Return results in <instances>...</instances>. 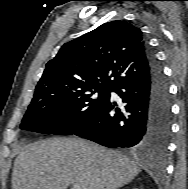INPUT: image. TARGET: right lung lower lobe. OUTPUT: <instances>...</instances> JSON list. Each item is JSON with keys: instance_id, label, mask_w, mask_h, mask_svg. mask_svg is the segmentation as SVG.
<instances>
[{"instance_id": "obj_1", "label": "right lung lower lobe", "mask_w": 188, "mask_h": 189, "mask_svg": "<svg viewBox=\"0 0 188 189\" xmlns=\"http://www.w3.org/2000/svg\"><path fill=\"white\" fill-rule=\"evenodd\" d=\"M150 70L113 89L122 100L118 105L108 94L104 103L74 135L106 147H149L166 150L171 132L169 87L154 54L148 50Z\"/></svg>"}]
</instances>
